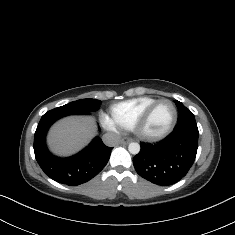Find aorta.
<instances>
[{
    "mask_svg": "<svg viewBox=\"0 0 235 235\" xmlns=\"http://www.w3.org/2000/svg\"><path fill=\"white\" fill-rule=\"evenodd\" d=\"M128 150L131 154L137 155L140 152L141 147L138 143H130L128 146Z\"/></svg>",
    "mask_w": 235,
    "mask_h": 235,
    "instance_id": "762f6f07",
    "label": "aorta"
}]
</instances>
